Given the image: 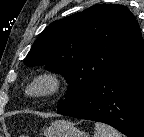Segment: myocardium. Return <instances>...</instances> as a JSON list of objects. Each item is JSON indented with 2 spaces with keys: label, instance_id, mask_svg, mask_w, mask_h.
<instances>
[{
  "label": "myocardium",
  "instance_id": "myocardium-1",
  "mask_svg": "<svg viewBox=\"0 0 144 137\" xmlns=\"http://www.w3.org/2000/svg\"><path fill=\"white\" fill-rule=\"evenodd\" d=\"M62 87L60 76L52 71L35 75L26 85L25 94L30 98H49L56 95Z\"/></svg>",
  "mask_w": 144,
  "mask_h": 137
}]
</instances>
